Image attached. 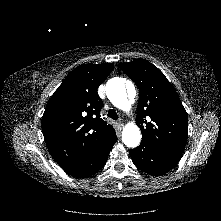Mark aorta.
I'll return each mask as SVG.
<instances>
[{"label":"aorta","instance_id":"1","mask_svg":"<svg viewBox=\"0 0 221 221\" xmlns=\"http://www.w3.org/2000/svg\"><path fill=\"white\" fill-rule=\"evenodd\" d=\"M126 87L130 93L135 94V87L131 82L125 84L123 78H112L106 84V95L110 102L120 110L128 111L131 104L128 99ZM122 141L130 148H135L141 141V132L134 123L125 125L122 131Z\"/></svg>","mask_w":221,"mask_h":221}]
</instances>
